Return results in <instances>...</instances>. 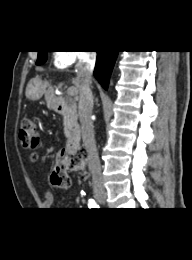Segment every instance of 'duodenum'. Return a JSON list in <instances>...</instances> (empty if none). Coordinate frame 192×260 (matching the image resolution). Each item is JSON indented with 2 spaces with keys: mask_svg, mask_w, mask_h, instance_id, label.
<instances>
[{
  "mask_svg": "<svg viewBox=\"0 0 192 260\" xmlns=\"http://www.w3.org/2000/svg\"><path fill=\"white\" fill-rule=\"evenodd\" d=\"M55 110L68 118L69 121V136L67 141V151L69 153H77L81 150L80 145V128L76 123L74 113L66 107L65 104L58 102L55 105Z\"/></svg>",
  "mask_w": 192,
  "mask_h": 260,
  "instance_id": "1",
  "label": "duodenum"
}]
</instances>
